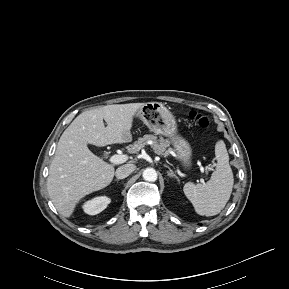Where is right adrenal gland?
Segmentation results:
<instances>
[{
	"label": "right adrenal gland",
	"instance_id": "obj_1",
	"mask_svg": "<svg viewBox=\"0 0 289 289\" xmlns=\"http://www.w3.org/2000/svg\"><path fill=\"white\" fill-rule=\"evenodd\" d=\"M115 181L119 182L120 180L119 179H115Z\"/></svg>",
	"mask_w": 289,
	"mask_h": 289
}]
</instances>
